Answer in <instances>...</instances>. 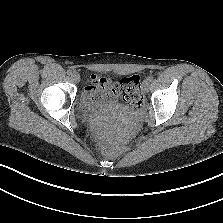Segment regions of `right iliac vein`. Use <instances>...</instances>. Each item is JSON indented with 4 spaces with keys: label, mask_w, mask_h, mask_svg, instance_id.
<instances>
[{
    "label": "right iliac vein",
    "mask_w": 223,
    "mask_h": 223,
    "mask_svg": "<svg viewBox=\"0 0 223 223\" xmlns=\"http://www.w3.org/2000/svg\"><path fill=\"white\" fill-rule=\"evenodd\" d=\"M72 78L77 83L80 81V75L77 72H73Z\"/></svg>",
    "instance_id": "63e3f726"
}]
</instances>
